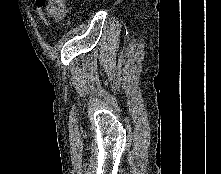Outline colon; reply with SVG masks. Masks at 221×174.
<instances>
[{
    "instance_id": "5ec220e1",
    "label": "colon",
    "mask_w": 221,
    "mask_h": 174,
    "mask_svg": "<svg viewBox=\"0 0 221 174\" xmlns=\"http://www.w3.org/2000/svg\"><path fill=\"white\" fill-rule=\"evenodd\" d=\"M66 0H35L38 7L45 11L47 20L60 21L62 19V6Z\"/></svg>"
}]
</instances>
